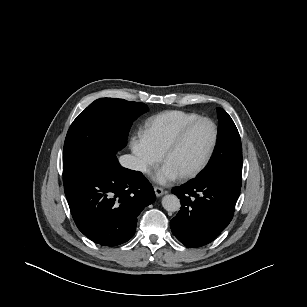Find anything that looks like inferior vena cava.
Wrapping results in <instances>:
<instances>
[{
	"mask_svg": "<svg viewBox=\"0 0 307 307\" xmlns=\"http://www.w3.org/2000/svg\"><path fill=\"white\" fill-rule=\"evenodd\" d=\"M120 164L128 169L146 172L147 165L139 158L133 155H123L119 158Z\"/></svg>",
	"mask_w": 307,
	"mask_h": 307,
	"instance_id": "602c4592",
	"label": "inferior vena cava"
}]
</instances>
